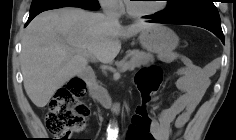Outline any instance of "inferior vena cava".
<instances>
[{"mask_svg": "<svg viewBox=\"0 0 236 140\" xmlns=\"http://www.w3.org/2000/svg\"><path fill=\"white\" fill-rule=\"evenodd\" d=\"M105 17L109 20V21H115L118 22V15L108 6L104 7L103 9Z\"/></svg>", "mask_w": 236, "mask_h": 140, "instance_id": "602c4592", "label": "inferior vena cava"}]
</instances>
